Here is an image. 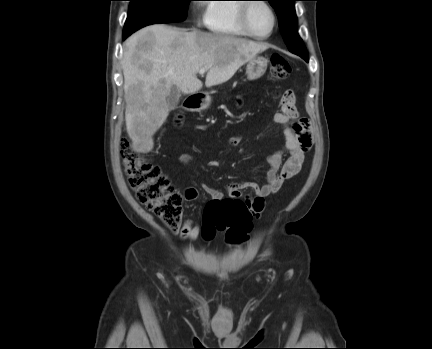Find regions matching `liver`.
Wrapping results in <instances>:
<instances>
[{"mask_svg": "<svg viewBox=\"0 0 432 349\" xmlns=\"http://www.w3.org/2000/svg\"><path fill=\"white\" fill-rule=\"evenodd\" d=\"M266 43L163 24L147 26L124 43L122 68L126 101L125 120L133 149L153 148V135L169 115L167 97L172 87L183 94L198 92L203 83L200 69L207 71L205 85L228 81Z\"/></svg>", "mask_w": 432, "mask_h": 349, "instance_id": "liver-1", "label": "liver"}]
</instances>
